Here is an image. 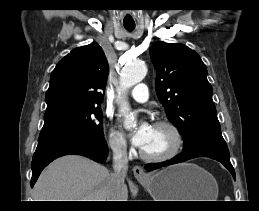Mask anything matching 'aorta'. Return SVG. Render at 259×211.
<instances>
[{
  "mask_svg": "<svg viewBox=\"0 0 259 211\" xmlns=\"http://www.w3.org/2000/svg\"><path fill=\"white\" fill-rule=\"evenodd\" d=\"M147 74V67L142 61H133L128 63L122 70L120 75V85L123 91H126L130 87L135 84L141 82ZM128 106L123 104L121 106V111L126 116V124L127 128H130L134 123V118L130 114H128Z\"/></svg>",
  "mask_w": 259,
  "mask_h": 211,
  "instance_id": "1",
  "label": "aorta"
}]
</instances>
